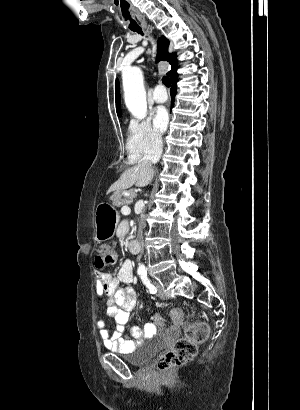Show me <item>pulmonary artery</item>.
I'll return each mask as SVG.
<instances>
[{
    "label": "pulmonary artery",
    "mask_w": 300,
    "mask_h": 410,
    "mask_svg": "<svg viewBox=\"0 0 300 410\" xmlns=\"http://www.w3.org/2000/svg\"><path fill=\"white\" fill-rule=\"evenodd\" d=\"M152 97H153L154 101H156L158 103H163L167 100L168 94H167L164 86L159 84L154 88Z\"/></svg>",
    "instance_id": "1"
}]
</instances>
